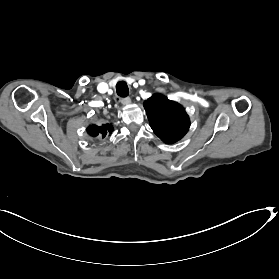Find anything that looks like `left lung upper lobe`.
Listing matches in <instances>:
<instances>
[{
  "label": "left lung upper lobe",
  "mask_w": 279,
  "mask_h": 279,
  "mask_svg": "<svg viewBox=\"0 0 279 279\" xmlns=\"http://www.w3.org/2000/svg\"><path fill=\"white\" fill-rule=\"evenodd\" d=\"M144 108L152 130L165 143H175L187 133L190 121L178 103L154 94L145 101Z\"/></svg>",
  "instance_id": "1"
}]
</instances>
